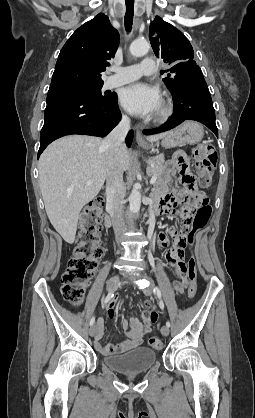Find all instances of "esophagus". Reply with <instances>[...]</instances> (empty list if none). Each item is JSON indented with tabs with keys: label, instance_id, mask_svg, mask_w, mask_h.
<instances>
[{
	"label": "esophagus",
	"instance_id": "1",
	"mask_svg": "<svg viewBox=\"0 0 255 418\" xmlns=\"http://www.w3.org/2000/svg\"><path fill=\"white\" fill-rule=\"evenodd\" d=\"M136 141L139 144L144 143V138L142 134L140 133V131H136Z\"/></svg>",
	"mask_w": 255,
	"mask_h": 418
}]
</instances>
